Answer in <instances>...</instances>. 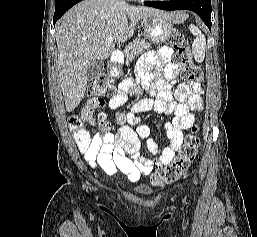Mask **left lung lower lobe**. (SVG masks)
I'll use <instances>...</instances> for the list:
<instances>
[{
  "mask_svg": "<svg viewBox=\"0 0 257 237\" xmlns=\"http://www.w3.org/2000/svg\"><path fill=\"white\" fill-rule=\"evenodd\" d=\"M144 4L162 10L194 11L211 30V0H170L167 2H144Z\"/></svg>",
  "mask_w": 257,
  "mask_h": 237,
  "instance_id": "1",
  "label": "left lung lower lobe"
}]
</instances>
